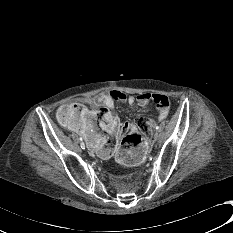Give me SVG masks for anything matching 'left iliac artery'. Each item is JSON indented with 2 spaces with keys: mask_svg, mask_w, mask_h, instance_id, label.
Masks as SVG:
<instances>
[{
  "mask_svg": "<svg viewBox=\"0 0 233 233\" xmlns=\"http://www.w3.org/2000/svg\"><path fill=\"white\" fill-rule=\"evenodd\" d=\"M159 128H160V127H159L158 125L155 126V129H156V130H159Z\"/></svg>",
  "mask_w": 233,
  "mask_h": 233,
  "instance_id": "44dca946",
  "label": "left iliac artery"
}]
</instances>
